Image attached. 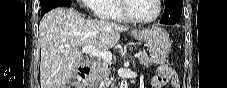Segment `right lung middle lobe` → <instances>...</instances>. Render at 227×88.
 <instances>
[{
	"mask_svg": "<svg viewBox=\"0 0 227 88\" xmlns=\"http://www.w3.org/2000/svg\"><path fill=\"white\" fill-rule=\"evenodd\" d=\"M41 13H46L49 10L59 6H71V0H40Z\"/></svg>",
	"mask_w": 227,
	"mask_h": 88,
	"instance_id": "right-lung-middle-lobe-1",
	"label": "right lung middle lobe"
}]
</instances>
